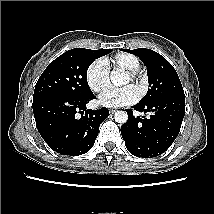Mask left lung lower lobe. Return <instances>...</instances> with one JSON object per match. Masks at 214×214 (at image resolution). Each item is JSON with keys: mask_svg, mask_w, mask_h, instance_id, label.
<instances>
[{"mask_svg": "<svg viewBox=\"0 0 214 214\" xmlns=\"http://www.w3.org/2000/svg\"><path fill=\"white\" fill-rule=\"evenodd\" d=\"M132 108L150 116L134 117L132 109L127 110L128 121L121 127L126 148L142 158L161 155L179 134L185 115V97L160 98Z\"/></svg>", "mask_w": 214, "mask_h": 214, "instance_id": "left-lung-lower-lobe-1", "label": "left lung lower lobe"}]
</instances>
